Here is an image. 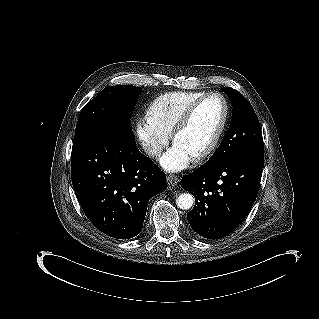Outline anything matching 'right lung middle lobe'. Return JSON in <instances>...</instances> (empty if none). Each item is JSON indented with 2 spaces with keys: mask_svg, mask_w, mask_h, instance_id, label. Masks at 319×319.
Listing matches in <instances>:
<instances>
[{
  "mask_svg": "<svg viewBox=\"0 0 319 319\" xmlns=\"http://www.w3.org/2000/svg\"><path fill=\"white\" fill-rule=\"evenodd\" d=\"M139 92L131 85L104 88L83 107L74 141L105 132L132 134L129 120Z\"/></svg>",
  "mask_w": 319,
  "mask_h": 319,
  "instance_id": "obj_1",
  "label": "right lung middle lobe"
}]
</instances>
